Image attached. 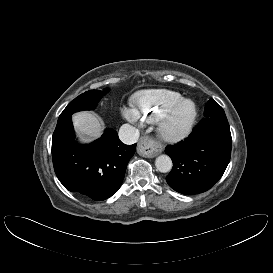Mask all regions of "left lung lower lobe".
Listing matches in <instances>:
<instances>
[{
  "mask_svg": "<svg viewBox=\"0 0 273 273\" xmlns=\"http://www.w3.org/2000/svg\"><path fill=\"white\" fill-rule=\"evenodd\" d=\"M232 138L226 119H203L187 139L165 152L173 161L168 185L182 194L210 189L223 175L231 156Z\"/></svg>",
  "mask_w": 273,
  "mask_h": 273,
  "instance_id": "obj_1",
  "label": "left lung lower lobe"
}]
</instances>
